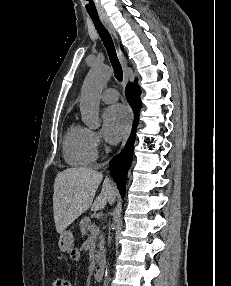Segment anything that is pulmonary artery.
Wrapping results in <instances>:
<instances>
[{
  "label": "pulmonary artery",
  "mask_w": 231,
  "mask_h": 286,
  "mask_svg": "<svg viewBox=\"0 0 231 286\" xmlns=\"http://www.w3.org/2000/svg\"><path fill=\"white\" fill-rule=\"evenodd\" d=\"M101 99L105 103H114L119 99V93L115 88H107L103 91Z\"/></svg>",
  "instance_id": "e3ab8cb5"
}]
</instances>
